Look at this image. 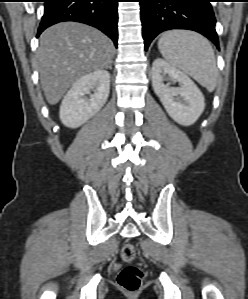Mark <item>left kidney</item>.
<instances>
[{
	"mask_svg": "<svg viewBox=\"0 0 248 299\" xmlns=\"http://www.w3.org/2000/svg\"><path fill=\"white\" fill-rule=\"evenodd\" d=\"M173 80L179 87H169L164 81ZM152 86L169 116L183 126L197 121L205 108L204 96L196 84L183 72L163 59L152 65Z\"/></svg>",
	"mask_w": 248,
	"mask_h": 299,
	"instance_id": "obj_1",
	"label": "left kidney"
}]
</instances>
